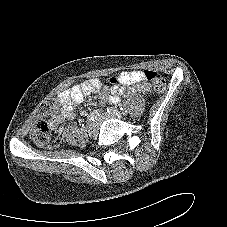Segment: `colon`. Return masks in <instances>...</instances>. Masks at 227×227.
I'll list each match as a JSON object with an SVG mask.
<instances>
[{
	"mask_svg": "<svg viewBox=\"0 0 227 227\" xmlns=\"http://www.w3.org/2000/svg\"><path fill=\"white\" fill-rule=\"evenodd\" d=\"M144 78L150 83L152 89L155 92H162L165 89L166 81L165 78L153 70L144 71ZM111 84L117 83V78L112 77L110 79ZM56 108V102L53 99H48L41 104L42 113H50ZM31 139L38 146L45 147L50 142V129L46 121L38 119L31 130Z\"/></svg>",
	"mask_w": 227,
	"mask_h": 227,
	"instance_id": "colon-1",
	"label": "colon"
}]
</instances>
